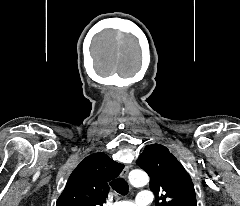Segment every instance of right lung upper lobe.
Returning a JSON list of instances; mask_svg holds the SVG:
<instances>
[{"label":"right lung upper lobe","instance_id":"1","mask_svg":"<svg viewBox=\"0 0 240 206\" xmlns=\"http://www.w3.org/2000/svg\"><path fill=\"white\" fill-rule=\"evenodd\" d=\"M123 168L104 153L86 157L70 175L56 206H101L109 192L108 182Z\"/></svg>","mask_w":240,"mask_h":206}]
</instances>
